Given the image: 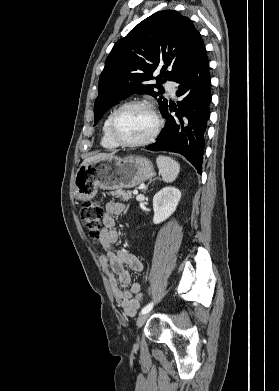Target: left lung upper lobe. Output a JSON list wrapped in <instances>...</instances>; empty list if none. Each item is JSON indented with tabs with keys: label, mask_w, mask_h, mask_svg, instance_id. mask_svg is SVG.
I'll list each match as a JSON object with an SVG mask.
<instances>
[{
	"label": "left lung upper lobe",
	"mask_w": 279,
	"mask_h": 391,
	"mask_svg": "<svg viewBox=\"0 0 279 391\" xmlns=\"http://www.w3.org/2000/svg\"><path fill=\"white\" fill-rule=\"evenodd\" d=\"M203 47L192 21L178 12L159 11L144 19L114 45L106 59L94 104V123L118 101L136 92L156 98L162 113L168 100L156 90L167 80L177 82Z\"/></svg>",
	"instance_id": "5c2ea615"
}]
</instances>
